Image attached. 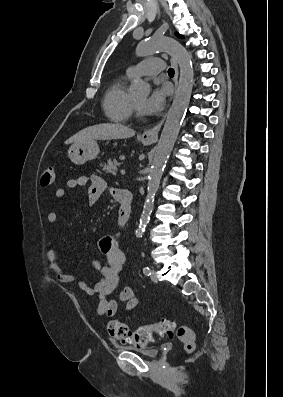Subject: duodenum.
<instances>
[{
	"instance_id": "410a0bca",
	"label": "duodenum",
	"mask_w": 283,
	"mask_h": 397,
	"mask_svg": "<svg viewBox=\"0 0 283 397\" xmlns=\"http://www.w3.org/2000/svg\"><path fill=\"white\" fill-rule=\"evenodd\" d=\"M132 201V193L126 190H121L118 198V203L120 205L118 223L120 225H125L129 221L132 213Z\"/></svg>"
}]
</instances>
